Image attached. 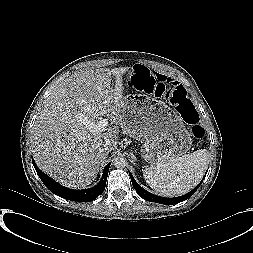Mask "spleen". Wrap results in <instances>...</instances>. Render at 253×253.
Listing matches in <instances>:
<instances>
[{
  "label": "spleen",
  "instance_id": "spleen-1",
  "mask_svg": "<svg viewBox=\"0 0 253 253\" xmlns=\"http://www.w3.org/2000/svg\"><path fill=\"white\" fill-rule=\"evenodd\" d=\"M208 165V151L197 150L191 154L158 162L143 170L149 186L166 197L182 195L196 186Z\"/></svg>",
  "mask_w": 253,
  "mask_h": 253
}]
</instances>
